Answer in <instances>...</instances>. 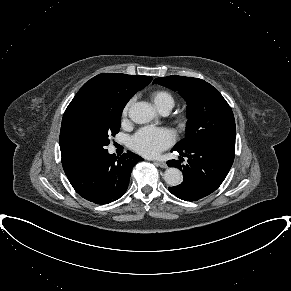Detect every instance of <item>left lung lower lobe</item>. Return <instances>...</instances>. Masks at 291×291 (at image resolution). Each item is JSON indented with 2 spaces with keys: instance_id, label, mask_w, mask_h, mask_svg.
I'll return each instance as SVG.
<instances>
[{
  "instance_id": "0a47b994",
  "label": "left lung lower lobe",
  "mask_w": 291,
  "mask_h": 291,
  "mask_svg": "<svg viewBox=\"0 0 291 291\" xmlns=\"http://www.w3.org/2000/svg\"><path fill=\"white\" fill-rule=\"evenodd\" d=\"M172 151L188 160L186 165L178 160L167 161L169 167L182 170L184 177L181 184L169 187V191L182 200L197 201L214 192L224 181L234 161L235 140H211Z\"/></svg>"
}]
</instances>
